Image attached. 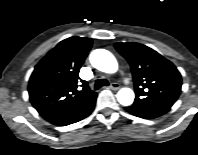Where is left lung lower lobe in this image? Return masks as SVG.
<instances>
[{"label": "left lung lower lobe", "instance_id": "obj_1", "mask_svg": "<svg viewBox=\"0 0 198 155\" xmlns=\"http://www.w3.org/2000/svg\"><path fill=\"white\" fill-rule=\"evenodd\" d=\"M125 110L132 115L144 119H154L169 111V108H146L137 105L125 107Z\"/></svg>", "mask_w": 198, "mask_h": 155}]
</instances>
